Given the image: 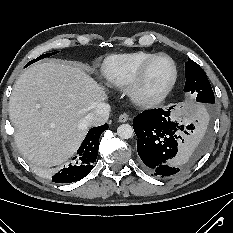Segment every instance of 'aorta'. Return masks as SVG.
Wrapping results in <instances>:
<instances>
[{
    "label": "aorta",
    "mask_w": 233,
    "mask_h": 233,
    "mask_svg": "<svg viewBox=\"0 0 233 233\" xmlns=\"http://www.w3.org/2000/svg\"><path fill=\"white\" fill-rule=\"evenodd\" d=\"M117 134L122 139H129L133 135V128L129 124H122L117 128Z\"/></svg>",
    "instance_id": "obj_1"
}]
</instances>
